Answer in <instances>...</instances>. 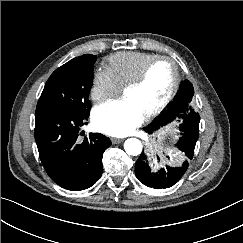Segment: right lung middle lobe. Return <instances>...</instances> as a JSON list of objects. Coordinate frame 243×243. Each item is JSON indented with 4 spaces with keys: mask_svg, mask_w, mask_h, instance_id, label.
<instances>
[{
    "mask_svg": "<svg viewBox=\"0 0 243 243\" xmlns=\"http://www.w3.org/2000/svg\"><path fill=\"white\" fill-rule=\"evenodd\" d=\"M96 56L76 57L56 69L49 77L39 98L36 111L48 110L85 115L90 113L88 100L93 83Z\"/></svg>",
    "mask_w": 243,
    "mask_h": 243,
    "instance_id": "1",
    "label": "right lung middle lobe"
}]
</instances>
